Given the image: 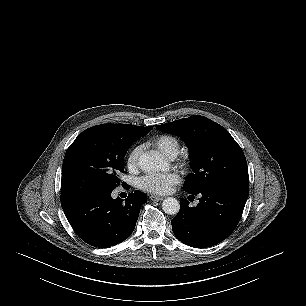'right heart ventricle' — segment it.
<instances>
[{"instance_id":"e07e8e85","label":"right heart ventricle","mask_w":306,"mask_h":306,"mask_svg":"<svg viewBox=\"0 0 306 306\" xmlns=\"http://www.w3.org/2000/svg\"><path fill=\"white\" fill-rule=\"evenodd\" d=\"M150 145L168 158H174L180 150L179 140L169 134H161L150 141Z\"/></svg>"}]
</instances>
